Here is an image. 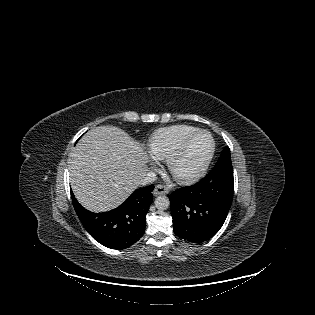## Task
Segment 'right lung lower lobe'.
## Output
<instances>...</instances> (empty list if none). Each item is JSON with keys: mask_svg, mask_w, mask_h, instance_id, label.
<instances>
[{"mask_svg": "<svg viewBox=\"0 0 315 315\" xmlns=\"http://www.w3.org/2000/svg\"><path fill=\"white\" fill-rule=\"evenodd\" d=\"M153 189V185L137 189L119 207L103 213L86 210L73 194L72 201L80 221L96 241L111 249H125L145 232Z\"/></svg>", "mask_w": 315, "mask_h": 315, "instance_id": "right-lung-lower-lobe-1", "label": "right lung lower lobe"}]
</instances>
